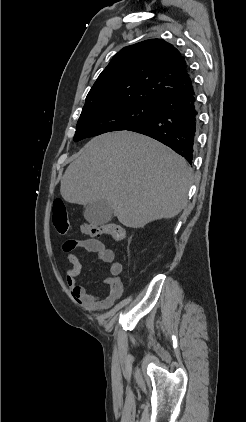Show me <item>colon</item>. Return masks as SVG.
Returning <instances> with one entry per match:
<instances>
[{
    "label": "colon",
    "instance_id": "obj_1",
    "mask_svg": "<svg viewBox=\"0 0 246 422\" xmlns=\"http://www.w3.org/2000/svg\"><path fill=\"white\" fill-rule=\"evenodd\" d=\"M53 224L61 234H66L71 230V222L64 202L60 199L53 203ZM82 233L88 236L109 235L115 241H122L125 238L124 228L116 223L108 224H83L80 227Z\"/></svg>",
    "mask_w": 246,
    "mask_h": 422
}]
</instances>
